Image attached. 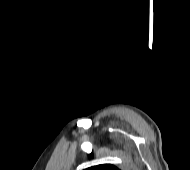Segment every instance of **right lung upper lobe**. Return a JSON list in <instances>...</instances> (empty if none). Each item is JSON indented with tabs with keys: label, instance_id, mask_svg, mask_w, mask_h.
I'll list each match as a JSON object with an SVG mask.
<instances>
[{
	"label": "right lung upper lobe",
	"instance_id": "1",
	"mask_svg": "<svg viewBox=\"0 0 190 170\" xmlns=\"http://www.w3.org/2000/svg\"><path fill=\"white\" fill-rule=\"evenodd\" d=\"M86 170H119V169L111 164H102L87 168Z\"/></svg>",
	"mask_w": 190,
	"mask_h": 170
}]
</instances>
